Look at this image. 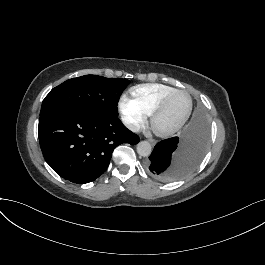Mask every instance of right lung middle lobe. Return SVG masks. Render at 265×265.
<instances>
[{"instance_id": "obj_1", "label": "right lung middle lobe", "mask_w": 265, "mask_h": 265, "mask_svg": "<svg viewBox=\"0 0 265 265\" xmlns=\"http://www.w3.org/2000/svg\"><path fill=\"white\" fill-rule=\"evenodd\" d=\"M127 79L85 75L53 88L42 103L40 116L61 108H76L103 118L118 116L117 103Z\"/></svg>"}]
</instances>
